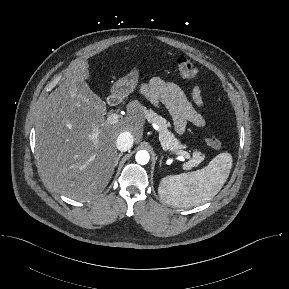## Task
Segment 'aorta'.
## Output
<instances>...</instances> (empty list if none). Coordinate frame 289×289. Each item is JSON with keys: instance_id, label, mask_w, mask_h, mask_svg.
Returning <instances> with one entry per match:
<instances>
[{"instance_id": "1", "label": "aorta", "mask_w": 289, "mask_h": 289, "mask_svg": "<svg viewBox=\"0 0 289 289\" xmlns=\"http://www.w3.org/2000/svg\"><path fill=\"white\" fill-rule=\"evenodd\" d=\"M135 159L138 164L145 165L149 162L150 155L147 151L140 150L136 153Z\"/></svg>"}]
</instances>
